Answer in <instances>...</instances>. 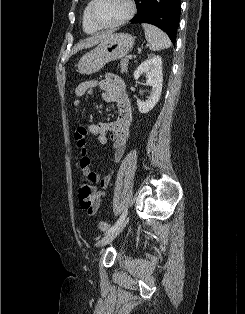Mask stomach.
<instances>
[{"mask_svg": "<svg viewBox=\"0 0 245 314\" xmlns=\"http://www.w3.org/2000/svg\"><path fill=\"white\" fill-rule=\"evenodd\" d=\"M135 37L128 33H113L93 50L83 55L78 63L81 74L91 75L107 63L125 57L133 48Z\"/></svg>", "mask_w": 245, "mask_h": 314, "instance_id": "0dacf381", "label": "stomach"}]
</instances>
